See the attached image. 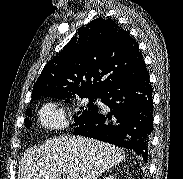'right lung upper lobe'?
<instances>
[{
	"mask_svg": "<svg viewBox=\"0 0 183 179\" xmlns=\"http://www.w3.org/2000/svg\"><path fill=\"white\" fill-rule=\"evenodd\" d=\"M143 64L138 43L129 32L114 20L97 18L46 64L33 87L31 102L47 96L99 95Z\"/></svg>",
	"mask_w": 183,
	"mask_h": 179,
	"instance_id": "1",
	"label": "right lung upper lobe"
}]
</instances>
